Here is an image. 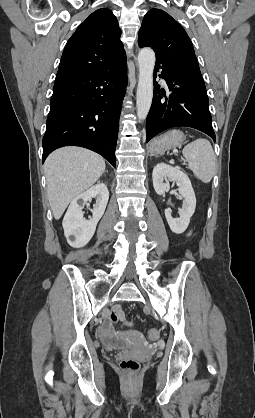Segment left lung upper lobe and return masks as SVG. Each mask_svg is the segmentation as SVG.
Here are the masks:
<instances>
[{
    "label": "left lung upper lobe",
    "instance_id": "1",
    "mask_svg": "<svg viewBox=\"0 0 255 418\" xmlns=\"http://www.w3.org/2000/svg\"><path fill=\"white\" fill-rule=\"evenodd\" d=\"M139 46L151 47L156 60L195 58L190 38L169 14L159 9H151L142 21L138 35Z\"/></svg>",
    "mask_w": 255,
    "mask_h": 418
}]
</instances>
